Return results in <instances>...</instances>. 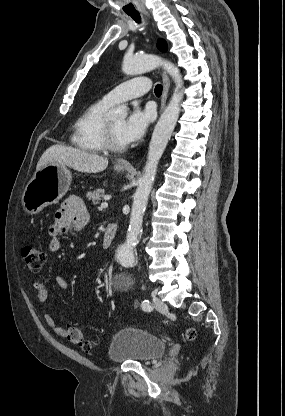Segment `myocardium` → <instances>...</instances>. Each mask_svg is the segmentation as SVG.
Returning a JSON list of instances; mask_svg holds the SVG:
<instances>
[{"mask_svg":"<svg viewBox=\"0 0 285 416\" xmlns=\"http://www.w3.org/2000/svg\"><path fill=\"white\" fill-rule=\"evenodd\" d=\"M102 142L105 150L113 153H121L125 150V145H117L111 135L108 119H104L101 127Z\"/></svg>","mask_w":285,"mask_h":416,"instance_id":"obj_1","label":"myocardium"}]
</instances>
